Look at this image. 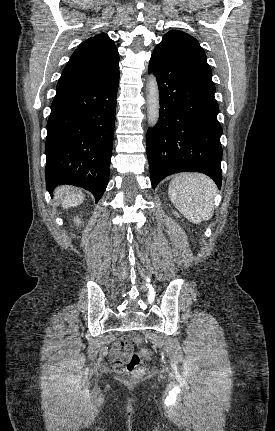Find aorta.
<instances>
[{"label": "aorta", "instance_id": "1", "mask_svg": "<svg viewBox=\"0 0 275 431\" xmlns=\"http://www.w3.org/2000/svg\"><path fill=\"white\" fill-rule=\"evenodd\" d=\"M146 87L148 123L154 127L159 120L160 103L158 84L153 74L148 76Z\"/></svg>", "mask_w": 275, "mask_h": 431}]
</instances>
